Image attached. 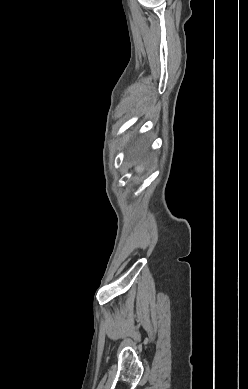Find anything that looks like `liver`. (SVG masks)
I'll return each instance as SVG.
<instances>
[{
  "instance_id": "1",
  "label": "liver",
  "mask_w": 248,
  "mask_h": 389,
  "mask_svg": "<svg viewBox=\"0 0 248 389\" xmlns=\"http://www.w3.org/2000/svg\"><path fill=\"white\" fill-rule=\"evenodd\" d=\"M135 169L137 172H142L144 170L143 165H138Z\"/></svg>"
}]
</instances>
